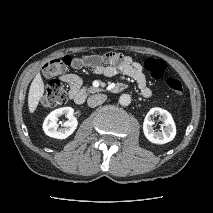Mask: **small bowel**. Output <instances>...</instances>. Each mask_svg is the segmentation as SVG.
<instances>
[{"label": "small bowel", "mask_w": 213, "mask_h": 213, "mask_svg": "<svg viewBox=\"0 0 213 213\" xmlns=\"http://www.w3.org/2000/svg\"><path fill=\"white\" fill-rule=\"evenodd\" d=\"M71 67L76 70L88 67L93 69L95 74L106 77H113L119 73L124 74L137 83L143 97L149 98L152 95V90L147 85L142 65L121 53L109 52L104 55L75 57L71 60ZM61 80L69 87L72 99L83 85L82 78L75 73H65L61 76Z\"/></svg>", "instance_id": "1"}]
</instances>
